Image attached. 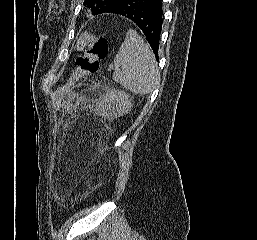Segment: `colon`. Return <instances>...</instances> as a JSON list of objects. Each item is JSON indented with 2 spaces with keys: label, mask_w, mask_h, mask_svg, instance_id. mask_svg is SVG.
<instances>
[{
  "label": "colon",
  "mask_w": 257,
  "mask_h": 240,
  "mask_svg": "<svg viewBox=\"0 0 257 240\" xmlns=\"http://www.w3.org/2000/svg\"><path fill=\"white\" fill-rule=\"evenodd\" d=\"M76 49L81 54L75 60V69L68 82L55 92L54 102L57 109L61 107L63 99L74 85L86 75L97 72L100 61L109 55L107 40L92 33H83L77 41Z\"/></svg>",
  "instance_id": "1"
}]
</instances>
